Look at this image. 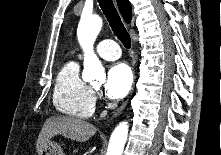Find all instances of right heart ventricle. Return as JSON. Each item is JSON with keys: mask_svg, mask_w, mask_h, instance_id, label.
I'll list each match as a JSON object with an SVG mask.
<instances>
[{"mask_svg": "<svg viewBox=\"0 0 221 155\" xmlns=\"http://www.w3.org/2000/svg\"><path fill=\"white\" fill-rule=\"evenodd\" d=\"M53 104L59 112L69 116L88 118L92 115L94 111L93 91L80 77L77 62H67L57 74Z\"/></svg>", "mask_w": 221, "mask_h": 155, "instance_id": "e07e8e85", "label": "right heart ventricle"}]
</instances>
